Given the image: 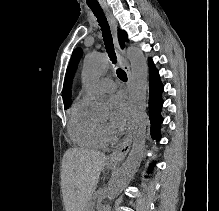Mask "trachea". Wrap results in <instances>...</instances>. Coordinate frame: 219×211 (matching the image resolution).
Listing matches in <instances>:
<instances>
[{
  "label": "trachea",
  "mask_w": 219,
  "mask_h": 211,
  "mask_svg": "<svg viewBox=\"0 0 219 211\" xmlns=\"http://www.w3.org/2000/svg\"><path fill=\"white\" fill-rule=\"evenodd\" d=\"M90 9L94 13V15L97 18L98 24L102 31V37L104 41L105 48L107 50V53L112 61L113 64L116 65V53L113 46V39L110 32V27L108 24V21L103 13V10L100 5H89ZM118 78L122 81H127V74L124 70L121 68H118L116 70Z\"/></svg>",
  "instance_id": "obj_1"
}]
</instances>
